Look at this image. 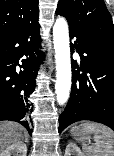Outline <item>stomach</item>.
<instances>
[{
	"label": "stomach",
	"instance_id": "1",
	"mask_svg": "<svg viewBox=\"0 0 114 156\" xmlns=\"http://www.w3.org/2000/svg\"><path fill=\"white\" fill-rule=\"evenodd\" d=\"M71 134L74 136V138L77 140V141H80V142H87L89 141V135L88 134H83L81 131H80V126H77V127H73L71 129Z\"/></svg>",
	"mask_w": 114,
	"mask_h": 156
}]
</instances>
